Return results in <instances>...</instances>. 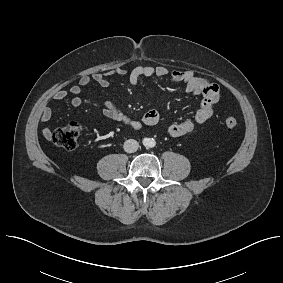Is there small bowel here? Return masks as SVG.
Listing matches in <instances>:
<instances>
[{"mask_svg": "<svg viewBox=\"0 0 283 283\" xmlns=\"http://www.w3.org/2000/svg\"><path fill=\"white\" fill-rule=\"evenodd\" d=\"M167 76H169L173 83L183 84L186 91L192 94L202 95L203 97L192 119L171 123L165 127L167 134L172 137H180L191 133L198 125L210 119L214 114V106L220 100L219 86L211 82L208 78L198 76L190 70H174L169 72L165 66L150 65L136 66L129 71L118 68L107 72L95 73L92 76H83L79 79L78 85L70 87L69 90L56 91L53 99L62 101L69 95H72L73 98L70 103L72 106L77 107L88 102L81 96L82 87L96 83L103 88H108L110 86L109 77H127L130 83L137 84L142 78L156 77L163 79ZM101 108L106 117L121 122L134 130H140L143 126H158L161 123V116L157 110H149L140 120H137L124 113L118 103L106 101L102 103ZM52 115V108L45 106L41 112V120L48 122L51 120ZM43 132L48 136L50 129L45 128Z\"/></svg>", "mask_w": 283, "mask_h": 283, "instance_id": "1", "label": "small bowel"}]
</instances>
